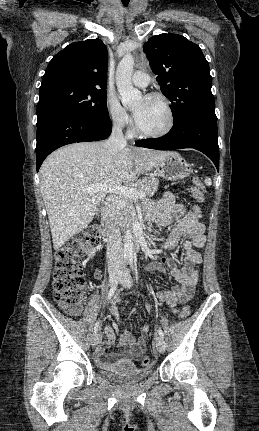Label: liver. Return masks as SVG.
I'll use <instances>...</instances> for the list:
<instances>
[{
    "label": "liver",
    "instance_id": "6515ba94",
    "mask_svg": "<svg viewBox=\"0 0 259 431\" xmlns=\"http://www.w3.org/2000/svg\"><path fill=\"white\" fill-rule=\"evenodd\" d=\"M104 142L73 143L47 157L40 168V188L46 207L53 246L58 250L86 228L107 192H83L92 184L108 187L127 184L151 171L170 154L125 147L112 157Z\"/></svg>",
    "mask_w": 259,
    "mask_h": 431
}]
</instances>
